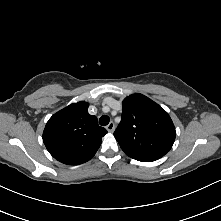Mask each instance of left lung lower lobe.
Instances as JSON below:
<instances>
[{"mask_svg":"<svg viewBox=\"0 0 221 221\" xmlns=\"http://www.w3.org/2000/svg\"><path fill=\"white\" fill-rule=\"evenodd\" d=\"M133 159L142 161V162H151L150 160H147V159H141V158H133Z\"/></svg>","mask_w":221,"mask_h":221,"instance_id":"left-lung-lower-lobe-1","label":"left lung lower lobe"}]
</instances>
